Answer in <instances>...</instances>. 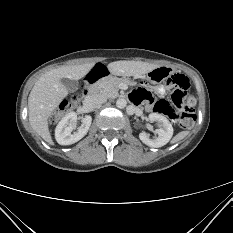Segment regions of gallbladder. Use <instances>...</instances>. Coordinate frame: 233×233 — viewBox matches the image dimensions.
Here are the masks:
<instances>
[{
  "instance_id": "obj_1",
  "label": "gallbladder",
  "mask_w": 233,
  "mask_h": 233,
  "mask_svg": "<svg viewBox=\"0 0 233 233\" xmlns=\"http://www.w3.org/2000/svg\"><path fill=\"white\" fill-rule=\"evenodd\" d=\"M62 84L67 88L69 92H74L78 89L79 83L76 80H71L67 78H63L61 80Z\"/></svg>"
}]
</instances>
